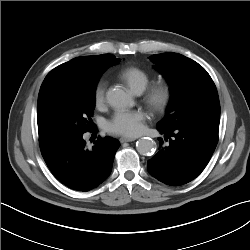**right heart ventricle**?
<instances>
[{"label":"right heart ventricle","instance_id":"e07e8e85","mask_svg":"<svg viewBox=\"0 0 250 250\" xmlns=\"http://www.w3.org/2000/svg\"><path fill=\"white\" fill-rule=\"evenodd\" d=\"M119 78L136 93H141L145 90L151 80L147 71L136 66L127 67L121 70Z\"/></svg>","mask_w":250,"mask_h":250}]
</instances>
